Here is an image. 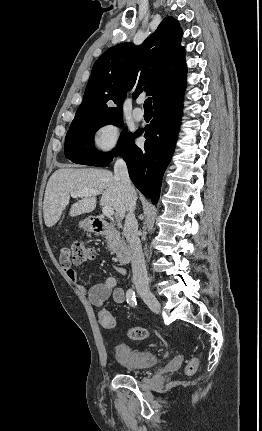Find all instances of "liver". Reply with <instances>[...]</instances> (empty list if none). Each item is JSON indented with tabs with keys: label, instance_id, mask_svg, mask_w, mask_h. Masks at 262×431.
I'll use <instances>...</instances> for the list:
<instances>
[{
	"label": "liver",
	"instance_id": "liver-1",
	"mask_svg": "<svg viewBox=\"0 0 262 431\" xmlns=\"http://www.w3.org/2000/svg\"><path fill=\"white\" fill-rule=\"evenodd\" d=\"M86 190L102 192L100 205L112 207L120 219L125 216L127 197L112 172L103 169L60 168L51 175L45 191L43 216L46 226L51 227L58 222L69 204L71 192ZM95 207L94 196L84 197L71 206L69 214L72 217L78 216L92 212Z\"/></svg>",
	"mask_w": 262,
	"mask_h": 431
}]
</instances>
